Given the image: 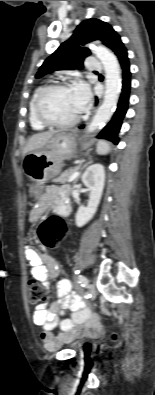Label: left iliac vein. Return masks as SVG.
<instances>
[{"mask_svg":"<svg viewBox=\"0 0 155 395\" xmlns=\"http://www.w3.org/2000/svg\"><path fill=\"white\" fill-rule=\"evenodd\" d=\"M88 291H89L91 298L94 299L96 296V289H95L94 284H92V283L89 284Z\"/></svg>","mask_w":155,"mask_h":395,"instance_id":"4c4485c4","label":"left iliac vein"}]
</instances>
